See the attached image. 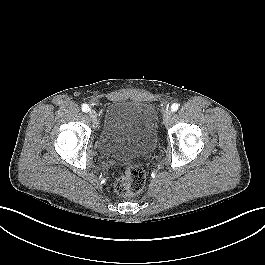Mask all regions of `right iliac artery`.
Listing matches in <instances>:
<instances>
[{"instance_id": "82829eb1", "label": "right iliac artery", "mask_w": 265, "mask_h": 265, "mask_svg": "<svg viewBox=\"0 0 265 265\" xmlns=\"http://www.w3.org/2000/svg\"><path fill=\"white\" fill-rule=\"evenodd\" d=\"M82 110H83L84 112H88V111L90 110V108H89V106H88L87 104H83V105H82Z\"/></svg>"}]
</instances>
